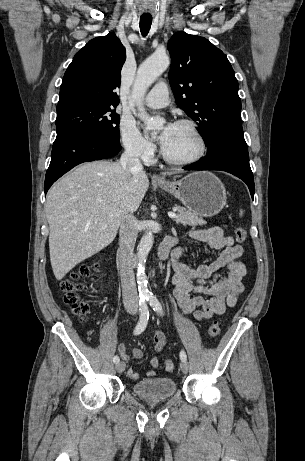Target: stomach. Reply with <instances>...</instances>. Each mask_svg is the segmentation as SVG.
<instances>
[{"label": "stomach", "mask_w": 305, "mask_h": 461, "mask_svg": "<svg viewBox=\"0 0 305 461\" xmlns=\"http://www.w3.org/2000/svg\"><path fill=\"white\" fill-rule=\"evenodd\" d=\"M157 184L179 199L189 211L200 216H214L226 204L223 183L208 171L193 172L178 181H161Z\"/></svg>", "instance_id": "obj_1"}]
</instances>
